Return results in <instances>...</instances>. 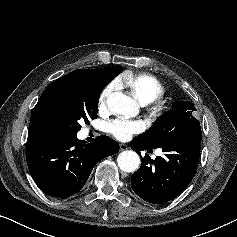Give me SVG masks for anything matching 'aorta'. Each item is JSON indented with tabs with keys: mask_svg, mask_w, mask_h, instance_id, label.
<instances>
[{
	"mask_svg": "<svg viewBox=\"0 0 237 237\" xmlns=\"http://www.w3.org/2000/svg\"><path fill=\"white\" fill-rule=\"evenodd\" d=\"M107 106L112 113L133 117L138 113V106L134 99L121 93L114 92L107 98ZM119 168L124 172H134L139 168V155L132 151L126 150L121 152L117 157Z\"/></svg>",
	"mask_w": 237,
	"mask_h": 237,
	"instance_id": "aorta-1",
	"label": "aorta"
}]
</instances>
